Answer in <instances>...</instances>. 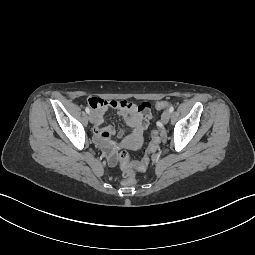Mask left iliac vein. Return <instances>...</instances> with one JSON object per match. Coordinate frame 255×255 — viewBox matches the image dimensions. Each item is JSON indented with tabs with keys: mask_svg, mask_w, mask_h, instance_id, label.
<instances>
[{
	"mask_svg": "<svg viewBox=\"0 0 255 255\" xmlns=\"http://www.w3.org/2000/svg\"><path fill=\"white\" fill-rule=\"evenodd\" d=\"M170 116H171V113L169 110H165L163 113H162V116H161V121L163 124H167L169 122V119H170Z\"/></svg>",
	"mask_w": 255,
	"mask_h": 255,
	"instance_id": "1",
	"label": "left iliac vein"
}]
</instances>
